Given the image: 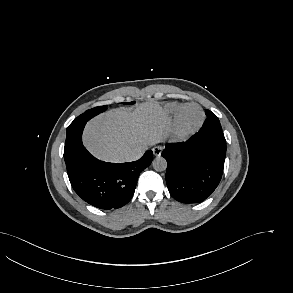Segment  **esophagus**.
<instances>
[{
  "label": "esophagus",
  "instance_id": "obj_1",
  "mask_svg": "<svg viewBox=\"0 0 293 293\" xmlns=\"http://www.w3.org/2000/svg\"><path fill=\"white\" fill-rule=\"evenodd\" d=\"M153 154L157 157H159L163 151V147L162 146H155L152 148Z\"/></svg>",
  "mask_w": 293,
  "mask_h": 293
}]
</instances>
